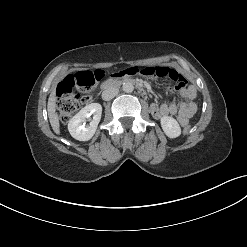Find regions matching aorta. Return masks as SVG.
<instances>
[{
	"label": "aorta",
	"mask_w": 247,
	"mask_h": 247,
	"mask_svg": "<svg viewBox=\"0 0 247 247\" xmlns=\"http://www.w3.org/2000/svg\"><path fill=\"white\" fill-rule=\"evenodd\" d=\"M122 89L126 93H131L134 90V86L131 82H125L123 83Z\"/></svg>",
	"instance_id": "obj_1"
}]
</instances>
